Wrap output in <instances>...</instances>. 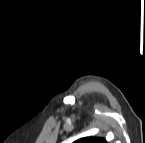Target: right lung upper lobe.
<instances>
[{"instance_id":"cb5924a9","label":"right lung upper lobe","mask_w":145,"mask_h":143,"mask_svg":"<svg viewBox=\"0 0 145 143\" xmlns=\"http://www.w3.org/2000/svg\"><path fill=\"white\" fill-rule=\"evenodd\" d=\"M76 142H79V143H105L106 141L102 138H82Z\"/></svg>"}]
</instances>
